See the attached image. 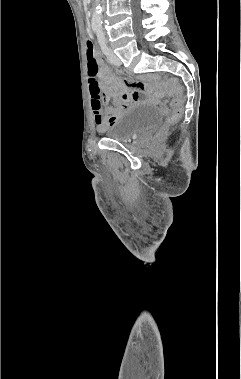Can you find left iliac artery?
Returning <instances> with one entry per match:
<instances>
[{
  "instance_id": "1",
  "label": "left iliac artery",
  "mask_w": 241,
  "mask_h": 379,
  "mask_svg": "<svg viewBox=\"0 0 241 379\" xmlns=\"http://www.w3.org/2000/svg\"><path fill=\"white\" fill-rule=\"evenodd\" d=\"M96 34H97V38H98V41H99V44L101 46L103 53L107 55L109 52V49L106 45V39H105L104 31L102 29H97Z\"/></svg>"
}]
</instances>
